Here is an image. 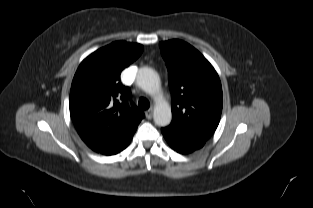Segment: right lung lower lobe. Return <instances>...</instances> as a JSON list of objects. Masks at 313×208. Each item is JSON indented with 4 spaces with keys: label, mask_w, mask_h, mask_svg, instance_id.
I'll use <instances>...</instances> for the list:
<instances>
[{
    "label": "right lung lower lobe",
    "mask_w": 313,
    "mask_h": 208,
    "mask_svg": "<svg viewBox=\"0 0 313 208\" xmlns=\"http://www.w3.org/2000/svg\"><path fill=\"white\" fill-rule=\"evenodd\" d=\"M133 136L127 138H116V137H81L82 140L95 152L104 155L117 154L125 149Z\"/></svg>",
    "instance_id": "1"
}]
</instances>
